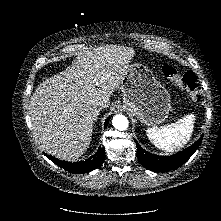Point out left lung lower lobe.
I'll return each instance as SVG.
<instances>
[{
	"mask_svg": "<svg viewBox=\"0 0 221 221\" xmlns=\"http://www.w3.org/2000/svg\"><path fill=\"white\" fill-rule=\"evenodd\" d=\"M202 141V137L192 146L184 149L180 153L171 156H159L151 154L137 145V156L139 162L147 169L153 171H169L178 168L184 164L191 155L198 149Z\"/></svg>",
	"mask_w": 221,
	"mask_h": 221,
	"instance_id": "0a47b994",
	"label": "left lung lower lobe"
}]
</instances>
